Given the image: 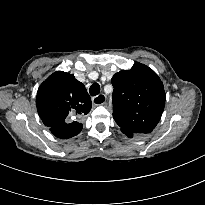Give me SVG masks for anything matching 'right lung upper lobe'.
Segmentation results:
<instances>
[{
    "label": "right lung upper lobe",
    "mask_w": 205,
    "mask_h": 205,
    "mask_svg": "<svg viewBox=\"0 0 205 205\" xmlns=\"http://www.w3.org/2000/svg\"><path fill=\"white\" fill-rule=\"evenodd\" d=\"M38 114L43 123L58 138H71L82 130L75 121L89 113L92 103L85 86L63 71L49 76L36 96Z\"/></svg>",
    "instance_id": "obj_1"
}]
</instances>
